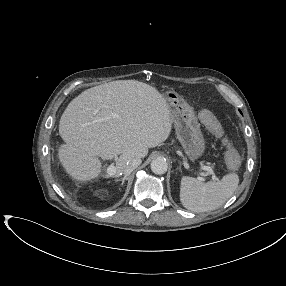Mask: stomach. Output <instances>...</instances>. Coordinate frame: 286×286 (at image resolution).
<instances>
[{"label": "stomach", "mask_w": 286, "mask_h": 286, "mask_svg": "<svg viewBox=\"0 0 286 286\" xmlns=\"http://www.w3.org/2000/svg\"><path fill=\"white\" fill-rule=\"evenodd\" d=\"M164 96L177 138L189 159L195 161L203 155L205 150V140L195 112L184 98L175 91H168Z\"/></svg>", "instance_id": "obj_1"}]
</instances>
